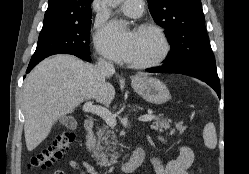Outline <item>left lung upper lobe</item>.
<instances>
[{"label": "left lung upper lobe", "mask_w": 249, "mask_h": 174, "mask_svg": "<svg viewBox=\"0 0 249 174\" xmlns=\"http://www.w3.org/2000/svg\"><path fill=\"white\" fill-rule=\"evenodd\" d=\"M155 22L165 29L171 45L165 65L182 67L215 62L205 28L201 0H148Z\"/></svg>", "instance_id": "5c2ea615"}]
</instances>
